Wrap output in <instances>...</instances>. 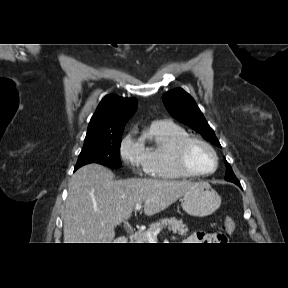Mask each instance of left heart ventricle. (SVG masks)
Instances as JSON below:
<instances>
[{"label": "left heart ventricle", "instance_id": "obj_1", "mask_svg": "<svg viewBox=\"0 0 288 288\" xmlns=\"http://www.w3.org/2000/svg\"><path fill=\"white\" fill-rule=\"evenodd\" d=\"M187 158L189 164L197 171L210 172L215 165V160L211 152L200 144L190 146Z\"/></svg>", "mask_w": 288, "mask_h": 288}]
</instances>
